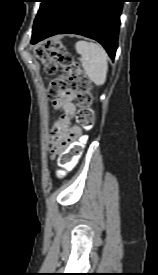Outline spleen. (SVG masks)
Returning a JSON list of instances; mask_svg holds the SVG:
<instances>
[{
    "label": "spleen",
    "instance_id": "1",
    "mask_svg": "<svg viewBox=\"0 0 158 275\" xmlns=\"http://www.w3.org/2000/svg\"><path fill=\"white\" fill-rule=\"evenodd\" d=\"M75 49L81 55L80 62L88 78L98 86L103 85L108 71V55L104 48L97 43L78 41Z\"/></svg>",
    "mask_w": 158,
    "mask_h": 275
}]
</instances>
